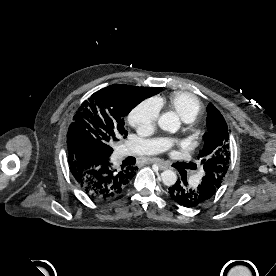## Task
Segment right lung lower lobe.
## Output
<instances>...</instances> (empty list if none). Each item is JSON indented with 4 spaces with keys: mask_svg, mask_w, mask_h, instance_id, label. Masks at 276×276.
Segmentation results:
<instances>
[{
    "mask_svg": "<svg viewBox=\"0 0 276 276\" xmlns=\"http://www.w3.org/2000/svg\"><path fill=\"white\" fill-rule=\"evenodd\" d=\"M71 174L93 200H107L120 194L136 174L137 167L113 168L109 157H103L93 148L76 145L68 149Z\"/></svg>",
    "mask_w": 276,
    "mask_h": 276,
    "instance_id": "1",
    "label": "right lung lower lobe"
}]
</instances>
